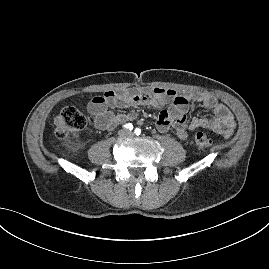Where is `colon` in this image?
Wrapping results in <instances>:
<instances>
[{
    "instance_id": "colon-1",
    "label": "colon",
    "mask_w": 269,
    "mask_h": 269,
    "mask_svg": "<svg viewBox=\"0 0 269 269\" xmlns=\"http://www.w3.org/2000/svg\"><path fill=\"white\" fill-rule=\"evenodd\" d=\"M92 121L93 118L79 108L67 106L54 118L55 135L60 140H66L87 127ZM194 143L201 151H207L213 145L212 139L204 132L195 134Z\"/></svg>"
}]
</instances>
